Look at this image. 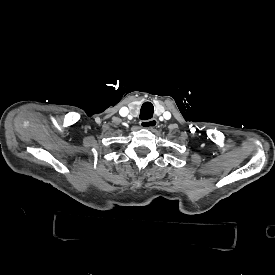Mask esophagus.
Returning <instances> with one entry per match:
<instances>
[{
    "mask_svg": "<svg viewBox=\"0 0 275 275\" xmlns=\"http://www.w3.org/2000/svg\"><path fill=\"white\" fill-rule=\"evenodd\" d=\"M140 125L143 128H155L158 125V121L155 118H151L141 121Z\"/></svg>",
    "mask_w": 275,
    "mask_h": 275,
    "instance_id": "obj_1",
    "label": "esophagus"
}]
</instances>
